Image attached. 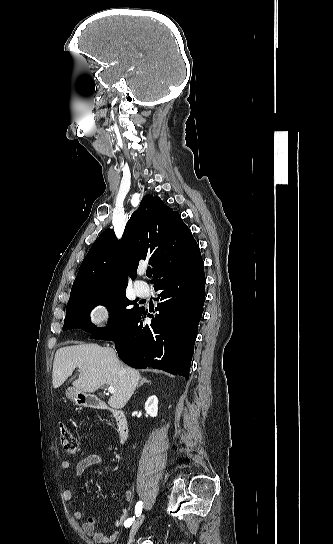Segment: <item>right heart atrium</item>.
Segmentation results:
<instances>
[{
	"label": "right heart atrium",
	"instance_id": "obj_1",
	"mask_svg": "<svg viewBox=\"0 0 333 544\" xmlns=\"http://www.w3.org/2000/svg\"><path fill=\"white\" fill-rule=\"evenodd\" d=\"M108 316H109V310L105 306H98L93 311V315H92L94 322L99 324L105 323L108 319Z\"/></svg>",
	"mask_w": 333,
	"mask_h": 544
}]
</instances>
